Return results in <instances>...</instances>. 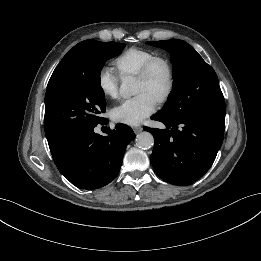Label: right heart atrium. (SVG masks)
Instances as JSON below:
<instances>
[{
    "instance_id": "1",
    "label": "right heart atrium",
    "mask_w": 261,
    "mask_h": 261,
    "mask_svg": "<svg viewBox=\"0 0 261 261\" xmlns=\"http://www.w3.org/2000/svg\"><path fill=\"white\" fill-rule=\"evenodd\" d=\"M119 77L108 67H103L97 76L98 88L107 98H116L119 94Z\"/></svg>"
}]
</instances>
